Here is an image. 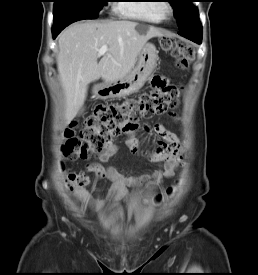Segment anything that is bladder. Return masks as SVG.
<instances>
[{"mask_svg":"<svg viewBox=\"0 0 258 275\" xmlns=\"http://www.w3.org/2000/svg\"><path fill=\"white\" fill-rule=\"evenodd\" d=\"M123 214V211H117L111 218L110 222H109V227L113 228L114 226H116L119 221L121 220V216Z\"/></svg>","mask_w":258,"mask_h":275,"instance_id":"obj_1","label":"bladder"}]
</instances>
